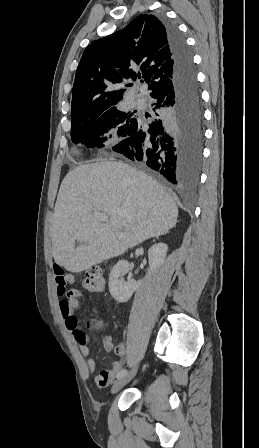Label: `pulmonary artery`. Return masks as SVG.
Segmentation results:
<instances>
[{
    "label": "pulmonary artery",
    "mask_w": 259,
    "mask_h": 448,
    "mask_svg": "<svg viewBox=\"0 0 259 448\" xmlns=\"http://www.w3.org/2000/svg\"><path fill=\"white\" fill-rule=\"evenodd\" d=\"M140 103H141V101H140V100H137V101H136V104H140Z\"/></svg>",
    "instance_id": "e3ab8cb5"
}]
</instances>
